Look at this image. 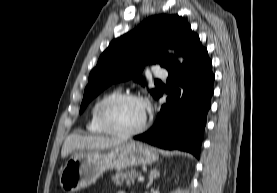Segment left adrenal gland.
<instances>
[{"mask_svg": "<svg viewBox=\"0 0 277 193\" xmlns=\"http://www.w3.org/2000/svg\"><path fill=\"white\" fill-rule=\"evenodd\" d=\"M159 176H160V172L156 168L150 170V172H149V182H148L146 188H149L152 185L153 180L156 179Z\"/></svg>", "mask_w": 277, "mask_h": 193, "instance_id": "1", "label": "left adrenal gland"}]
</instances>
